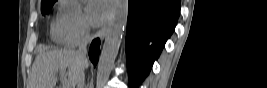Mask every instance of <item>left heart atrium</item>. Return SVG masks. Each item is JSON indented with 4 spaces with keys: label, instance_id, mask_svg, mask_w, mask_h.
Listing matches in <instances>:
<instances>
[{
    "label": "left heart atrium",
    "instance_id": "obj_1",
    "mask_svg": "<svg viewBox=\"0 0 267 88\" xmlns=\"http://www.w3.org/2000/svg\"><path fill=\"white\" fill-rule=\"evenodd\" d=\"M110 2L105 0L90 1L87 4L86 15L90 24L99 26L110 16Z\"/></svg>",
    "mask_w": 267,
    "mask_h": 88
}]
</instances>
